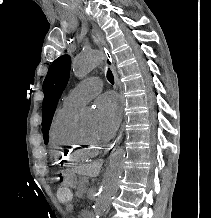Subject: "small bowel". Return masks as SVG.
Masks as SVG:
<instances>
[{"label":"small bowel","mask_w":211,"mask_h":218,"mask_svg":"<svg viewBox=\"0 0 211 218\" xmlns=\"http://www.w3.org/2000/svg\"><path fill=\"white\" fill-rule=\"evenodd\" d=\"M73 205L71 203L67 204V210H72Z\"/></svg>","instance_id":"small-bowel-1"}]
</instances>
